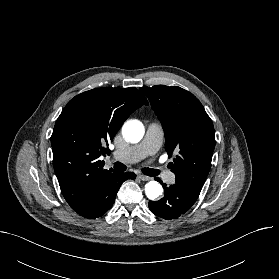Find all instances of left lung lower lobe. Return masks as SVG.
<instances>
[{
  "mask_svg": "<svg viewBox=\"0 0 279 279\" xmlns=\"http://www.w3.org/2000/svg\"><path fill=\"white\" fill-rule=\"evenodd\" d=\"M159 181L165 189V195L159 201H149V208L153 214L164 219H175L187 212L200 194V191L189 189L178 183L166 187V184Z\"/></svg>",
  "mask_w": 279,
  "mask_h": 279,
  "instance_id": "left-lung-lower-lobe-1",
  "label": "left lung lower lobe"
}]
</instances>
